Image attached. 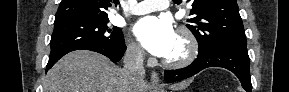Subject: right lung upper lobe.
I'll return each instance as SVG.
<instances>
[{
  "mask_svg": "<svg viewBox=\"0 0 289 92\" xmlns=\"http://www.w3.org/2000/svg\"><path fill=\"white\" fill-rule=\"evenodd\" d=\"M117 3L118 0H62L55 21L79 17L108 18L107 8Z\"/></svg>",
  "mask_w": 289,
  "mask_h": 92,
  "instance_id": "1",
  "label": "right lung upper lobe"
}]
</instances>
